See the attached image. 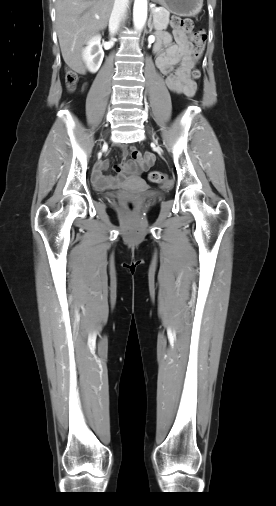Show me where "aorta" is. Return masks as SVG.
<instances>
[{"label":"aorta","mask_w":276,"mask_h":506,"mask_svg":"<svg viewBox=\"0 0 276 506\" xmlns=\"http://www.w3.org/2000/svg\"><path fill=\"white\" fill-rule=\"evenodd\" d=\"M147 19V0H135L133 8L134 27L138 32L144 28Z\"/></svg>","instance_id":"obj_1"}]
</instances>
